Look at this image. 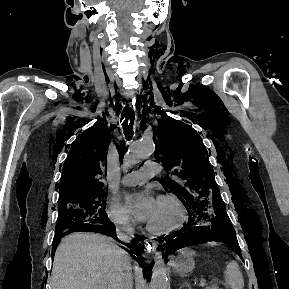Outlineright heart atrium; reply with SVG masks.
Returning a JSON list of instances; mask_svg holds the SVG:
<instances>
[{
  "instance_id": "d8ad5b80",
  "label": "right heart atrium",
  "mask_w": 289,
  "mask_h": 289,
  "mask_svg": "<svg viewBox=\"0 0 289 289\" xmlns=\"http://www.w3.org/2000/svg\"><path fill=\"white\" fill-rule=\"evenodd\" d=\"M107 213L109 219L118 228L130 230L133 227V220L130 214L116 198H112L109 201Z\"/></svg>"
}]
</instances>
